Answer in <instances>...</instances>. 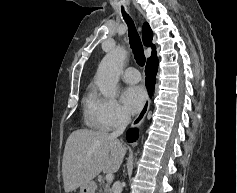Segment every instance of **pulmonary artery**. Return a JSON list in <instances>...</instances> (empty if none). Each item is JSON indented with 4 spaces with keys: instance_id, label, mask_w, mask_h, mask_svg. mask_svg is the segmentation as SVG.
Listing matches in <instances>:
<instances>
[{
    "instance_id": "pulmonary-artery-1",
    "label": "pulmonary artery",
    "mask_w": 237,
    "mask_h": 193,
    "mask_svg": "<svg viewBox=\"0 0 237 193\" xmlns=\"http://www.w3.org/2000/svg\"><path fill=\"white\" fill-rule=\"evenodd\" d=\"M122 79L127 83H137L141 80V74L135 67H129L123 72Z\"/></svg>"
}]
</instances>
